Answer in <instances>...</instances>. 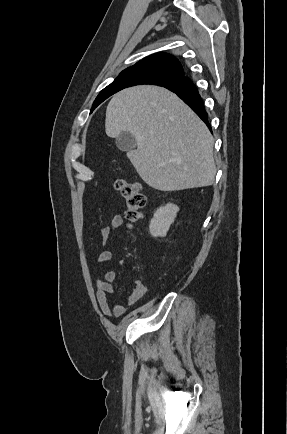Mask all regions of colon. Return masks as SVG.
I'll return each mask as SVG.
<instances>
[{
	"mask_svg": "<svg viewBox=\"0 0 287 434\" xmlns=\"http://www.w3.org/2000/svg\"><path fill=\"white\" fill-rule=\"evenodd\" d=\"M114 187L125 199L126 220L130 224L141 220L145 206V196L142 193L141 183L127 178H118L114 181Z\"/></svg>",
	"mask_w": 287,
	"mask_h": 434,
	"instance_id": "5ec220e1",
	"label": "colon"
}]
</instances>
